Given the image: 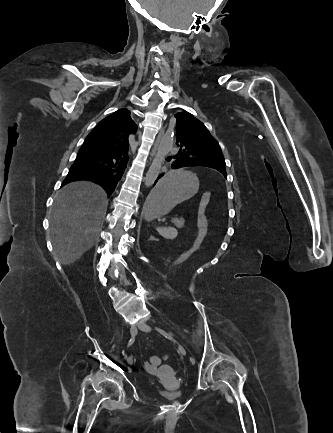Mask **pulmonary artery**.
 Returning a JSON list of instances; mask_svg holds the SVG:
<instances>
[{"label":"pulmonary artery","mask_w":333,"mask_h":433,"mask_svg":"<svg viewBox=\"0 0 333 433\" xmlns=\"http://www.w3.org/2000/svg\"><path fill=\"white\" fill-rule=\"evenodd\" d=\"M170 151H171V152H175V150H174V149H171Z\"/></svg>","instance_id":"pulmonary-artery-1"}]
</instances>
